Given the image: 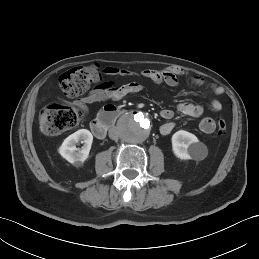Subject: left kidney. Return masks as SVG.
I'll use <instances>...</instances> for the list:
<instances>
[{
	"label": "left kidney",
	"mask_w": 259,
	"mask_h": 259,
	"mask_svg": "<svg viewBox=\"0 0 259 259\" xmlns=\"http://www.w3.org/2000/svg\"><path fill=\"white\" fill-rule=\"evenodd\" d=\"M171 141L173 153L182 160L196 158L198 150L204 146L194 134L184 130L174 133Z\"/></svg>",
	"instance_id": "obj_1"
}]
</instances>
